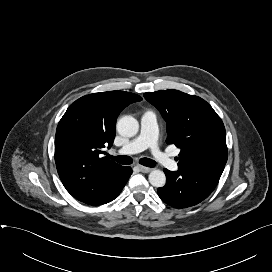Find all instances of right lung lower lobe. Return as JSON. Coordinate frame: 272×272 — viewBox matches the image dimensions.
<instances>
[{
    "label": "right lung lower lobe",
    "mask_w": 272,
    "mask_h": 272,
    "mask_svg": "<svg viewBox=\"0 0 272 272\" xmlns=\"http://www.w3.org/2000/svg\"><path fill=\"white\" fill-rule=\"evenodd\" d=\"M131 174L132 169L130 167H123L116 176L100 183L89 194L76 199L89 205H101L111 202L118 197Z\"/></svg>",
    "instance_id": "1"
}]
</instances>
